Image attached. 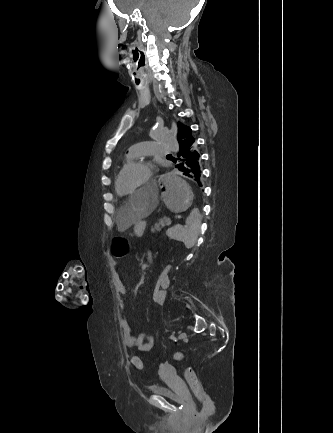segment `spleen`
<instances>
[{"label":"spleen","instance_id":"obj_1","mask_svg":"<svg viewBox=\"0 0 333 433\" xmlns=\"http://www.w3.org/2000/svg\"><path fill=\"white\" fill-rule=\"evenodd\" d=\"M171 176V175H166ZM185 183H187L185 181ZM190 215L186 219L185 225L176 224L174 227L167 231V235L174 240L182 241L186 248H192L196 242L200 233V209L197 206H193L190 209Z\"/></svg>","mask_w":333,"mask_h":433}]
</instances>
